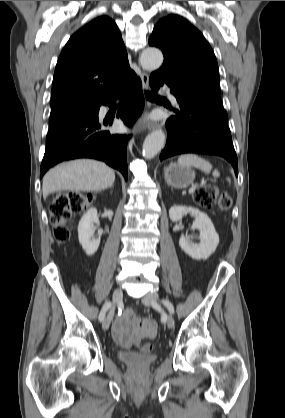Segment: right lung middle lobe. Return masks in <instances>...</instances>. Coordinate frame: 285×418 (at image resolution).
<instances>
[{
    "mask_svg": "<svg viewBox=\"0 0 285 418\" xmlns=\"http://www.w3.org/2000/svg\"><path fill=\"white\" fill-rule=\"evenodd\" d=\"M96 104H69L51 108L49 128L60 125L74 118L92 115L95 111Z\"/></svg>",
    "mask_w": 285,
    "mask_h": 418,
    "instance_id": "1",
    "label": "right lung middle lobe"
}]
</instances>
